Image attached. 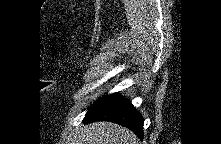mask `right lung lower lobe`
Listing matches in <instances>:
<instances>
[{"label":"right lung lower lobe","instance_id":"right-lung-lower-lobe-1","mask_svg":"<svg viewBox=\"0 0 221 144\" xmlns=\"http://www.w3.org/2000/svg\"><path fill=\"white\" fill-rule=\"evenodd\" d=\"M94 121L118 123L133 131L140 139L143 138V117L127 99L119 97L118 93L105 95L89 108L84 122Z\"/></svg>","mask_w":221,"mask_h":144}]
</instances>
